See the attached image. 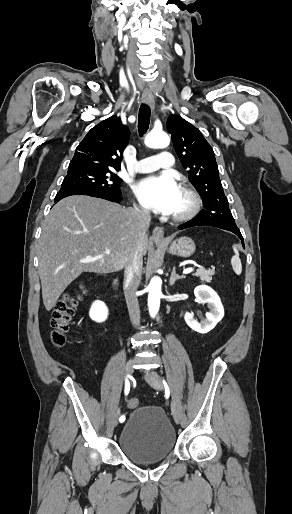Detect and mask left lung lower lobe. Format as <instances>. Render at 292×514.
<instances>
[{"label": "left lung lower lobe", "instance_id": "1", "mask_svg": "<svg viewBox=\"0 0 292 514\" xmlns=\"http://www.w3.org/2000/svg\"><path fill=\"white\" fill-rule=\"evenodd\" d=\"M200 225L214 226V227H218V228H221V229H224V230L231 231V232L236 234L241 239L242 244L244 245L242 234H241V232H240V230L238 228H231V227H228L226 225L215 223V222H211V221H199L197 219V217L193 218L192 220H190V221H188V222H186L184 224L179 225L178 229L182 230V229H185V228H188V227L200 226Z\"/></svg>", "mask_w": 292, "mask_h": 514}]
</instances>
